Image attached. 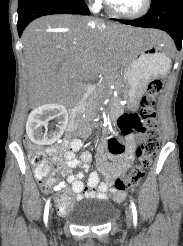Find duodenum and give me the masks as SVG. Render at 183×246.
<instances>
[{
    "label": "duodenum",
    "instance_id": "obj_1",
    "mask_svg": "<svg viewBox=\"0 0 183 246\" xmlns=\"http://www.w3.org/2000/svg\"><path fill=\"white\" fill-rule=\"evenodd\" d=\"M80 104H75L73 108L69 111V124L68 131H73L77 125V115L78 113H83V108Z\"/></svg>",
    "mask_w": 183,
    "mask_h": 246
}]
</instances>
